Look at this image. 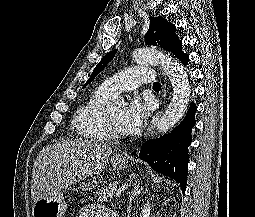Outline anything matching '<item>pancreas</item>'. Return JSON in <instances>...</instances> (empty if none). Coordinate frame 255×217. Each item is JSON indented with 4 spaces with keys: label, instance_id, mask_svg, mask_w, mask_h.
Returning <instances> with one entry per match:
<instances>
[{
    "label": "pancreas",
    "instance_id": "cf45deb5",
    "mask_svg": "<svg viewBox=\"0 0 255 217\" xmlns=\"http://www.w3.org/2000/svg\"><path fill=\"white\" fill-rule=\"evenodd\" d=\"M116 184L117 182H114L113 184H109V186H104L98 191H96V193L94 194V198L96 199V201L101 203L106 202L113 194V190Z\"/></svg>",
    "mask_w": 255,
    "mask_h": 217
}]
</instances>
